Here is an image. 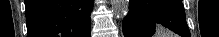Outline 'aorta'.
I'll return each instance as SVG.
<instances>
[{
    "label": "aorta",
    "mask_w": 219,
    "mask_h": 37,
    "mask_svg": "<svg viewBox=\"0 0 219 37\" xmlns=\"http://www.w3.org/2000/svg\"><path fill=\"white\" fill-rule=\"evenodd\" d=\"M129 0H111L114 13L118 18H124L129 11Z\"/></svg>",
    "instance_id": "obj_1"
}]
</instances>
